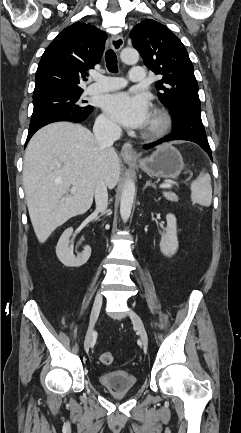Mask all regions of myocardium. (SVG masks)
I'll use <instances>...</instances> for the list:
<instances>
[{"label": "myocardium", "instance_id": "myocardium-1", "mask_svg": "<svg viewBox=\"0 0 241 433\" xmlns=\"http://www.w3.org/2000/svg\"><path fill=\"white\" fill-rule=\"evenodd\" d=\"M170 126L171 118L169 114L163 109L156 108L144 134L149 138H159L167 133Z\"/></svg>", "mask_w": 241, "mask_h": 433}]
</instances>
